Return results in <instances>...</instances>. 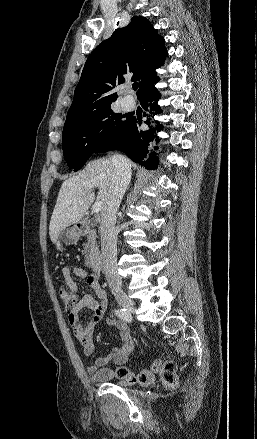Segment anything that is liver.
I'll return each instance as SVG.
<instances>
[{
  "instance_id": "liver-1",
  "label": "liver",
  "mask_w": 257,
  "mask_h": 439,
  "mask_svg": "<svg viewBox=\"0 0 257 439\" xmlns=\"http://www.w3.org/2000/svg\"><path fill=\"white\" fill-rule=\"evenodd\" d=\"M113 175L110 159L100 158L89 162L78 175L63 182L49 225V236L54 244L64 229L83 218L95 200V188L99 190L96 199L102 200L104 207Z\"/></svg>"
}]
</instances>
